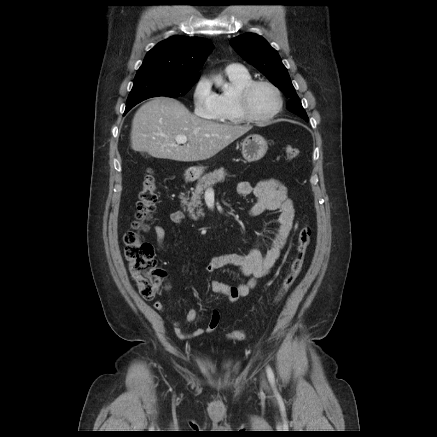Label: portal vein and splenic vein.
I'll return each mask as SVG.
<instances>
[{
    "label": "portal vein and splenic vein",
    "instance_id": "portal-vein-and-splenic-vein-1",
    "mask_svg": "<svg viewBox=\"0 0 437 437\" xmlns=\"http://www.w3.org/2000/svg\"><path fill=\"white\" fill-rule=\"evenodd\" d=\"M187 140H188L187 137L184 135H178L175 137V141L178 144H185L187 142ZM209 190H211V188Z\"/></svg>",
    "mask_w": 437,
    "mask_h": 437
}]
</instances>
